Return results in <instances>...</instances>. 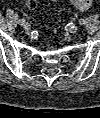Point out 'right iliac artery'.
<instances>
[{
  "label": "right iliac artery",
  "instance_id": "82829eb1",
  "mask_svg": "<svg viewBox=\"0 0 100 118\" xmlns=\"http://www.w3.org/2000/svg\"><path fill=\"white\" fill-rule=\"evenodd\" d=\"M19 23H20V25H23V26H25V27H26V22H25V20H24V19H21V20L19 21Z\"/></svg>",
  "mask_w": 100,
  "mask_h": 118
}]
</instances>
